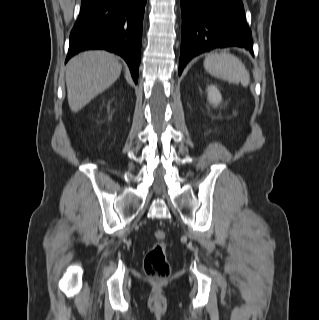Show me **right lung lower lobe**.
<instances>
[{
	"label": "right lung lower lobe",
	"instance_id": "98d812e1",
	"mask_svg": "<svg viewBox=\"0 0 319 320\" xmlns=\"http://www.w3.org/2000/svg\"><path fill=\"white\" fill-rule=\"evenodd\" d=\"M147 0H82L70 33L66 62L87 49H106L122 56L137 83L142 23Z\"/></svg>",
	"mask_w": 319,
	"mask_h": 320
}]
</instances>
